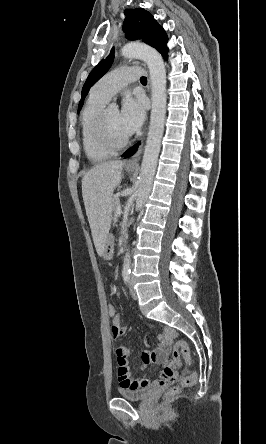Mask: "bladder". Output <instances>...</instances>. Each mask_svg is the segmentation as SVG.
Masks as SVG:
<instances>
[{"mask_svg":"<svg viewBox=\"0 0 266 444\" xmlns=\"http://www.w3.org/2000/svg\"><path fill=\"white\" fill-rule=\"evenodd\" d=\"M153 389V386L138 389H120V396L130 401H143L149 397Z\"/></svg>","mask_w":266,"mask_h":444,"instance_id":"31cf9c89","label":"bladder"}]
</instances>
